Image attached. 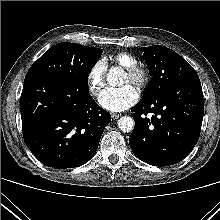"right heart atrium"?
Wrapping results in <instances>:
<instances>
[{
    "label": "right heart atrium",
    "mask_w": 220,
    "mask_h": 220,
    "mask_svg": "<svg viewBox=\"0 0 220 220\" xmlns=\"http://www.w3.org/2000/svg\"><path fill=\"white\" fill-rule=\"evenodd\" d=\"M107 63L105 59L96 60L88 70L87 83L90 93L97 96L105 85Z\"/></svg>",
    "instance_id": "1"
}]
</instances>
